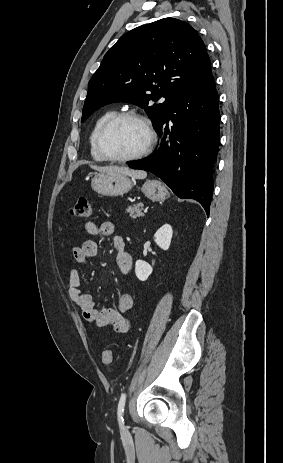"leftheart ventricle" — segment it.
<instances>
[{
    "instance_id": "obj_1",
    "label": "left heart ventricle",
    "mask_w": 283,
    "mask_h": 463,
    "mask_svg": "<svg viewBox=\"0 0 283 463\" xmlns=\"http://www.w3.org/2000/svg\"><path fill=\"white\" fill-rule=\"evenodd\" d=\"M147 142V134L140 122L125 119L109 128L104 136V147L113 156L127 157L141 151Z\"/></svg>"
}]
</instances>
